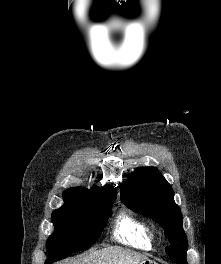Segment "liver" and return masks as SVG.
Listing matches in <instances>:
<instances>
[{
	"label": "liver",
	"instance_id": "liver-1",
	"mask_svg": "<svg viewBox=\"0 0 221 264\" xmlns=\"http://www.w3.org/2000/svg\"><path fill=\"white\" fill-rule=\"evenodd\" d=\"M148 259L135 251L108 247L59 264H139Z\"/></svg>",
	"mask_w": 221,
	"mask_h": 264
}]
</instances>
